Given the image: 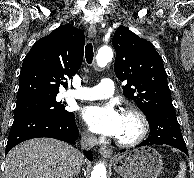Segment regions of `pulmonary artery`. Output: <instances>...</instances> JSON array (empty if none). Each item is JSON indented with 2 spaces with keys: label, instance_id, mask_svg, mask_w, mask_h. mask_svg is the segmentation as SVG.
<instances>
[{
  "label": "pulmonary artery",
  "instance_id": "e3ab8cb5",
  "mask_svg": "<svg viewBox=\"0 0 194 178\" xmlns=\"http://www.w3.org/2000/svg\"><path fill=\"white\" fill-rule=\"evenodd\" d=\"M114 92V81L110 78H103L94 87H81L77 91H68L67 96L81 100H98L110 97Z\"/></svg>",
  "mask_w": 194,
  "mask_h": 178
}]
</instances>
